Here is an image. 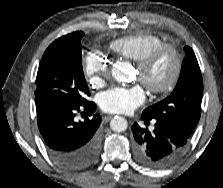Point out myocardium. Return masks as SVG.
I'll return each mask as SVG.
<instances>
[{"label":"myocardium","instance_id":"f54148a6","mask_svg":"<svg viewBox=\"0 0 223 188\" xmlns=\"http://www.w3.org/2000/svg\"><path fill=\"white\" fill-rule=\"evenodd\" d=\"M170 53L173 60V68L168 80L161 85H153L146 81V74L156 63L161 55ZM136 67L140 73L139 80L145 85L151 94H167L174 89L180 80L183 70V60L179 49L170 43H163L153 50L149 51L139 61H136Z\"/></svg>","mask_w":223,"mask_h":188}]
</instances>
